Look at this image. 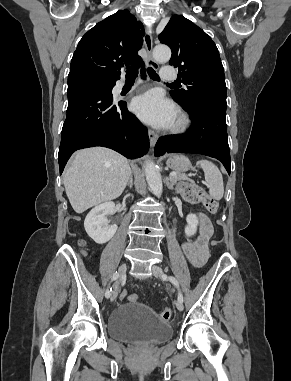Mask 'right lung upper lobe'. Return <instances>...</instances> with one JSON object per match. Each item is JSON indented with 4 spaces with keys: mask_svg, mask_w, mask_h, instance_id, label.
Instances as JSON below:
<instances>
[{
    "mask_svg": "<svg viewBox=\"0 0 291 381\" xmlns=\"http://www.w3.org/2000/svg\"><path fill=\"white\" fill-rule=\"evenodd\" d=\"M134 19L128 10H119L85 33L73 54L69 75L114 83L124 64L142 65L137 51L144 29Z\"/></svg>",
    "mask_w": 291,
    "mask_h": 381,
    "instance_id": "cb5924a9",
    "label": "right lung upper lobe"
}]
</instances>
